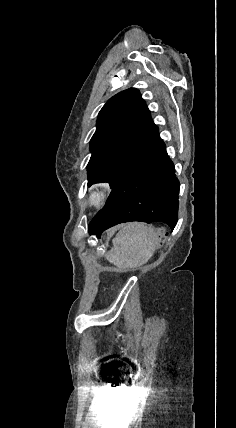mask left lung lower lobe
Segmentation results:
<instances>
[{
	"label": "left lung lower lobe",
	"instance_id": "left-lung-lower-lobe-1",
	"mask_svg": "<svg viewBox=\"0 0 236 428\" xmlns=\"http://www.w3.org/2000/svg\"><path fill=\"white\" fill-rule=\"evenodd\" d=\"M158 128L112 189L106 205L91 220L89 234L123 222H161L174 229L178 218L179 181Z\"/></svg>",
	"mask_w": 236,
	"mask_h": 428
}]
</instances>
